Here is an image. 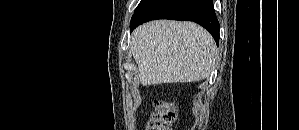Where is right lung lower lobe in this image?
Instances as JSON below:
<instances>
[{"instance_id": "right-lung-lower-lobe-1", "label": "right lung lower lobe", "mask_w": 299, "mask_h": 130, "mask_svg": "<svg viewBox=\"0 0 299 130\" xmlns=\"http://www.w3.org/2000/svg\"><path fill=\"white\" fill-rule=\"evenodd\" d=\"M155 19L193 21L205 29L219 44V22L212 0H148L132 17L130 32L140 24Z\"/></svg>"}]
</instances>
